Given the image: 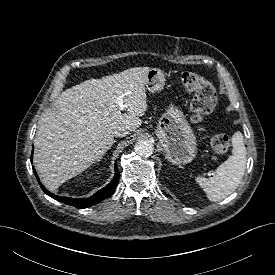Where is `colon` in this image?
I'll use <instances>...</instances> for the list:
<instances>
[{"mask_svg":"<svg viewBox=\"0 0 275 275\" xmlns=\"http://www.w3.org/2000/svg\"><path fill=\"white\" fill-rule=\"evenodd\" d=\"M181 82L188 91L193 93L190 102L192 121L201 123L216 105L214 87L202 76L194 72H184L181 76ZM211 145L215 152L223 154L229 149V137L226 134H216L211 139Z\"/></svg>","mask_w":275,"mask_h":275,"instance_id":"obj_1","label":"colon"}]
</instances>
